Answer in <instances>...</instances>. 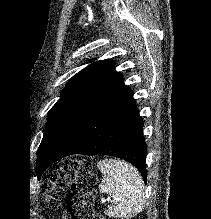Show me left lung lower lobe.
Here are the masks:
<instances>
[{"label":"left lung lower lobe","mask_w":211,"mask_h":219,"mask_svg":"<svg viewBox=\"0 0 211 219\" xmlns=\"http://www.w3.org/2000/svg\"><path fill=\"white\" fill-rule=\"evenodd\" d=\"M143 120L123 78L114 84L72 127L48 159L37 154L42 172L56 161L73 154L110 155L132 163L146 181V142Z\"/></svg>","instance_id":"1"}]
</instances>
